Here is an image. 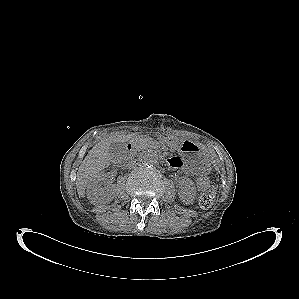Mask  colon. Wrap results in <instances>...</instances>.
Instances as JSON below:
<instances>
[{
	"mask_svg": "<svg viewBox=\"0 0 299 299\" xmlns=\"http://www.w3.org/2000/svg\"><path fill=\"white\" fill-rule=\"evenodd\" d=\"M197 185L203 192L198 197V203L202 208H209L214 202V191L210 189V180L207 176L202 175L197 179Z\"/></svg>",
	"mask_w": 299,
	"mask_h": 299,
	"instance_id": "obj_1",
	"label": "colon"
}]
</instances>
